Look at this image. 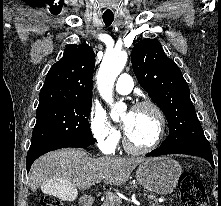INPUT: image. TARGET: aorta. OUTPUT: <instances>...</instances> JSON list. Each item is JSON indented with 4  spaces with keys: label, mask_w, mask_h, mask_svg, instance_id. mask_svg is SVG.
<instances>
[{
    "label": "aorta",
    "mask_w": 221,
    "mask_h": 206,
    "mask_svg": "<svg viewBox=\"0 0 221 206\" xmlns=\"http://www.w3.org/2000/svg\"><path fill=\"white\" fill-rule=\"evenodd\" d=\"M128 55L125 51L115 50L106 53L97 75V86L102 98L110 105V116L113 120L119 118L126 106L122 102H113V87L117 76L123 70Z\"/></svg>",
    "instance_id": "obj_1"
}]
</instances>
